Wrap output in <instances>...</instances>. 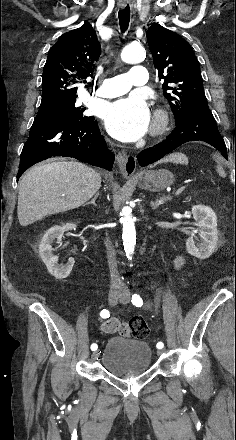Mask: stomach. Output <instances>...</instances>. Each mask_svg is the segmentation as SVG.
<instances>
[{
    "mask_svg": "<svg viewBox=\"0 0 236 440\" xmlns=\"http://www.w3.org/2000/svg\"><path fill=\"white\" fill-rule=\"evenodd\" d=\"M138 185L141 189L158 192L173 184L175 177L167 169L148 170L137 176Z\"/></svg>",
    "mask_w": 236,
    "mask_h": 440,
    "instance_id": "0dacf381",
    "label": "stomach"
}]
</instances>
